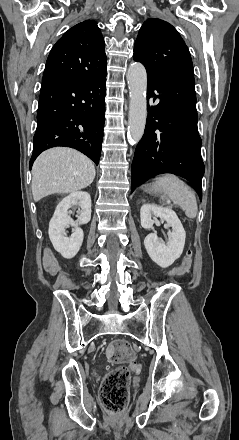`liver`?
Here are the masks:
<instances>
[{
  "label": "liver",
  "mask_w": 239,
  "mask_h": 440,
  "mask_svg": "<svg viewBox=\"0 0 239 440\" xmlns=\"http://www.w3.org/2000/svg\"><path fill=\"white\" fill-rule=\"evenodd\" d=\"M93 162L72 148H51L38 156L32 168L34 202L49 194H71L92 184Z\"/></svg>",
  "instance_id": "6515ba94"
}]
</instances>
